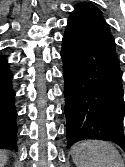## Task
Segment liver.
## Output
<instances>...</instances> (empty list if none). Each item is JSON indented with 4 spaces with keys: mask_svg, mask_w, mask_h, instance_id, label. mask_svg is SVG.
Wrapping results in <instances>:
<instances>
[{
    "mask_svg": "<svg viewBox=\"0 0 125 167\" xmlns=\"http://www.w3.org/2000/svg\"><path fill=\"white\" fill-rule=\"evenodd\" d=\"M7 151L0 150V167H3L7 162Z\"/></svg>",
    "mask_w": 125,
    "mask_h": 167,
    "instance_id": "1",
    "label": "liver"
}]
</instances>
